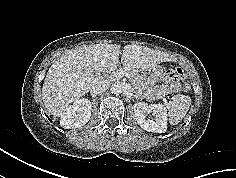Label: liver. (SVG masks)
I'll use <instances>...</instances> for the list:
<instances>
[{
	"label": "liver",
	"instance_id": "obj_1",
	"mask_svg": "<svg viewBox=\"0 0 236 178\" xmlns=\"http://www.w3.org/2000/svg\"><path fill=\"white\" fill-rule=\"evenodd\" d=\"M120 54V45L100 43L69 51L54 61L42 88L43 103L48 112L62 116L71 103L87 94L95 84L103 80L109 83L99 73L113 71L118 64L125 69H146L172 61L168 54L138 45L124 46L121 63Z\"/></svg>",
	"mask_w": 236,
	"mask_h": 178
}]
</instances>
